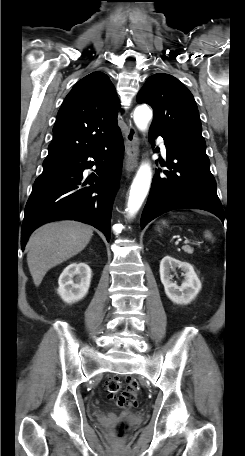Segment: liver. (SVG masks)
Segmentation results:
<instances>
[{
    "label": "liver",
    "mask_w": 245,
    "mask_h": 456,
    "mask_svg": "<svg viewBox=\"0 0 245 456\" xmlns=\"http://www.w3.org/2000/svg\"><path fill=\"white\" fill-rule=\"evenodd\" d=\"M93 236V229L77 221L43 225L29 238L27 264L38 287L48 270L81 252Z\"/></svg>",
    "instance_id": "obj_1"
}]
</instances>
